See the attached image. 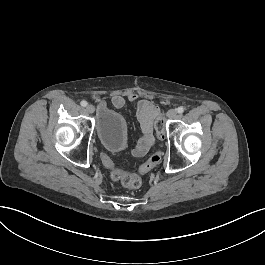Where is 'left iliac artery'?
Wrapping results in <instances>:
<instances>
[{
    "mask_svg": "<svg viewBox=\"0 0 265 265\" xmlns=\"http://www.w3.org/2000/svg\"><path fill=\"white\" fill-rule=\"evenodd\" d=\"M177 112H178L179 114L183 113V112H184V107H182V106L178 107V108H177Z\"/></svg>",
    "mask_w": 265,
    "mask_h": 265,
    "instance_id": "left-iliac-artery-1",
    "label": "left iliac artery"
}]
</instances>
